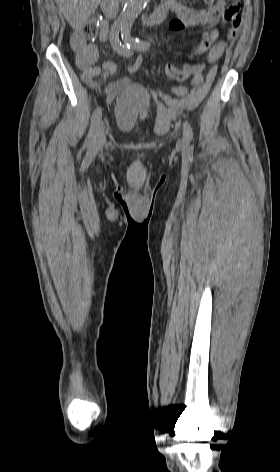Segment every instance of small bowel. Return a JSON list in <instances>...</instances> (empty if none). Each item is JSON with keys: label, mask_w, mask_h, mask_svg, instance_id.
<instances>
[{"label": "small bowel", "mask_w": 280, "mask_h": 472, "mask_svg": "<svg viewBox=\"0 0 280 472\" xmlns=\"http://www.w3.org/2000/svg\"><path fill=\"white\" fill-rule=\"evenodd\" d=\"M204 9H193L181 3L178 0H166L163 4L168 11L173 12L176 18L171 21L170 29L173 31H181L190 27H203L206 31L202 40L196 46L195 54H202L208 51L207 63L209 67L206 75L202 72L206 66L205 63L193 64L188 67L190 85L173 86L171 91L178 98L171 97L159 90L151 92L156 106L158 124L161 127H167L181 112L189 111L198 106L208 94L217 73V62L223 55L227 46L225 41H218L213 44L217 37V31L214 27L219 22L220 17L224 14L226 8L225 0H216L207 2ZM239 26L231 27L227 33L228 40H234L238 34ZM109 29L105 22L100 24L99 39L104 42L108 39ZM72 48L77 58L83 63L82 79L91 88L98 89L99 86L95 81V77L103 71L115 73L116 67L112 62H105L102 67L95 66L98 59V49L93 43L85 40L82 34L76 32L71 37ZM144 61L143 56H138L134 63L127 67L128 72H135L140 69ZM150 74L154 72L150 70ZM129 84L128 79H120L109 83L102 88L106 100L111 102L116 94Z\"/></svg>", "instance_id": "small-bowel-1"}]
</instances>
